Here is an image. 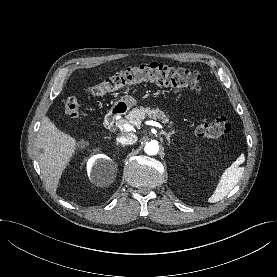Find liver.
I'll use <instances>...</instances> for the list:
<instances>
[{"label":"liver","mask_w":277,"mask_h":277,"mask_svg":"<svg viewBox=\"0 0 277 277\" xmlns=\"http://www.w3.org/2000/svg\"><path fill=\"white\" fill-rule=\"evenodd\" d=\"M37 146L43 150L38 163L46 185L56 190L65 168L78 149L77 140L57 128L54 122L44 117L37 135Z\"/></svg>","instance_id":"obj_1"}]
</instances>
